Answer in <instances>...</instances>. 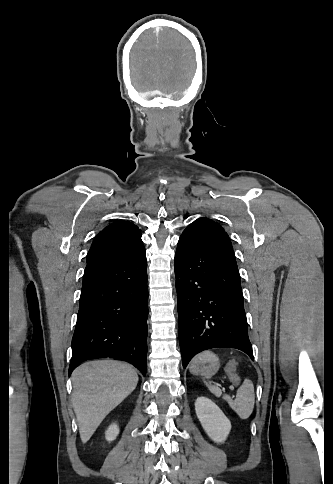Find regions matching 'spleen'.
<instances>
[{
  "label": "spleen",
  "instance_id": "1",
  "mask_svg": "<svg viewBox=\"0 0 333 484\" xmlns=\"http://www.w3.org/2000/svg\"><path fill=\"white\" fill-rule=\"evenodd\" d=\"M208 389L217 397L221 396L219 387L207 384ZM230 406V408L237 413L240 419H248L254 409L255 394L252 381L245 379L241 387L237 390L236 399L233 400L229 395L222 397Z\"/></svg>",
  "mask_w": 333,
  "mask_h": 484
}]
</instances>
